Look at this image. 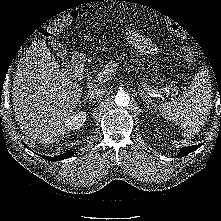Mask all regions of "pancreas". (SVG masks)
Here are the masks:
<instances>
[{
    "label": "pancreas",
    "instance_id": "pancreas-1",
    "mask_svg": "<svg viewBox=\"0 0 221 221\" xmlns=\"http://www.w3.org/2000/svg\"><path fill=\"white\" fill-rule=\"evenodd\" d=\"M107 68H112V69H117L116 68V66H115V62H109V63H107L106 65H104V67H103V69H102V71L103 70H105V69H107ZM139 69V68H138ZM112 75V74H111ZM111 75H108L107 76V80H103V81H101L102 83L103 82H106V81H108V80H110L112 77H111ZM98 76V75H97ZM143 80H145V84L147 85V86H149V83H147V81H151V82H156L157 80H163L161 77H159V76H153V77H151V78H143ZM150 87V86H149Z\"/></svg>",
    "mask_w": 221,
    "mask_h": 221
}]
</instances>
